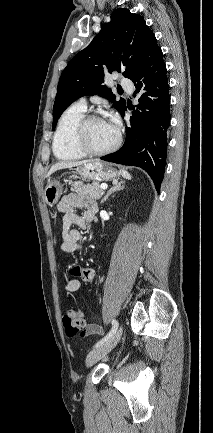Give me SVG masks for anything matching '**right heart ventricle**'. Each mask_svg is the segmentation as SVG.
<instances>
[{"label": "right heart ventricle", "instance_id": "obj_1", "mask_svg": "<svg viewBox=\"0 0 213 433\" xmlns=\"http://www.w3.org/2000/svg\"><path fill=\"white\" fill-rule=\"evenodd\" d=\"M85 111L86 109L74 104L61 116L53 138V152L58 159L76 160L85 156L74 142L75 128Z\"/></svg>", "mask_w": 213, "mask_h": 433}]
</instances>
